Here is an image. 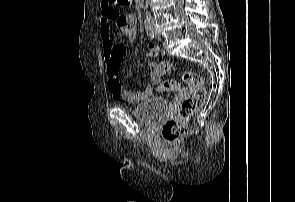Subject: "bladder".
Segmentation results:
<instances>
[{
    "instance_id": "1",
    "label": "bladder",
    "mask_w": 295,
    "mask_h": 202,
    "mask_svg": "<svg viewBox=\"0 0 295 202\" xmlns=\"http://www.w3.org/2000/svg\"><path fill=\"white\" fill-rule=\"evenodd\" d=\"M168 109L167 101L162 97L148 98L132 110L133 117L145 124H153L162 119Z\"/></svg>"
}]
</instances>
